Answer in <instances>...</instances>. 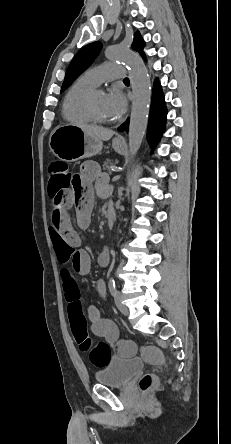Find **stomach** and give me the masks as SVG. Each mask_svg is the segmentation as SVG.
Here are the masks:
<instances>
[{
    "instance_id": "obj_1",
    "label": "stomach",
    "mask_w": 231,
    "mask_h": 444,
    "mask_svg": "<svg viewBox=\"0 0 231 444\" xmlns=\"http://www.w3.org/2000/svg\"><path fill=\"white\" fill-rule=\"evenodd\" d=\"M49 146L56 157L72 162L97 155L101 152L103 144L101 140L85 133L78 126L61 125L51 133ZM112 146L120 154L126 149L124 140L119 138L113 140Z\"/></svg>"
}]
</instances>
